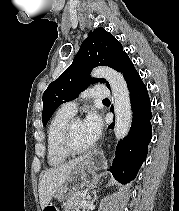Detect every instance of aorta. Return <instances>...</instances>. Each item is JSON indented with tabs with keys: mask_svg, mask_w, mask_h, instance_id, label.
Masks as SVG:
<instances>
[{
	"mask_svg": "<svg viewBox=\"0 0 179 211\" xmlns=\"http://www.w3.org/2000/svg\"><path fill=\"white\" fill-rule=\"evenodd\" d=\"M91 75L96 78H105L109 82L116 117L114 133L117 139H123L129 132L132 120L130 96L126 81L121 73L107 66L95 68Z\"/></svg>",
	"mask_w": 179,
	"mask_h": 211,
	"instance_id": "1",
	"label": "aorta"
}]
</instances>
